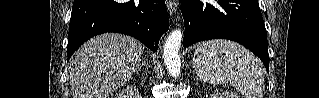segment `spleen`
I'll use <instances>...</instances> for the list:
<instances>
[{"mask_svg":"<svg viewBox=\"0 0 319 98\" xmlns=\"http://www.w3.org/2000/svg\"><path fill=\"white\" fill-rule=\"evenodd\" d=\"M192 64L204 82L229 83L246 98L263 97L264 69L260 61L235 42L210 40L199 44Z\"/></svg>","mask_w":319,"mask_h":98,"instance_id":"spleen-1","label":"spleen"}]
</instances>
